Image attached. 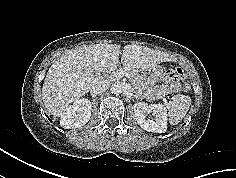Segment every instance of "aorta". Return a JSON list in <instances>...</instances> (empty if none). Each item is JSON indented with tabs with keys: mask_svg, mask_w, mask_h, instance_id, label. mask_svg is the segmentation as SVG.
Here are the masks:
<instances>
[{
	"mask_svg": "<svg viewBox=\"0 0 236 178\" xmlns=\"http://www.w3.org/2000/svg\"><path fill=\"white\" fill-rule=\"evenodd\" d=\"M123 88L120 84L115 83L111 85V92L112 94L118 95L122 92Z\"/></svg>",
	"mask_w": 236,
	"mask_h": 178,
	"instance_id": "762f6f07",
	"label": "aorta"
}]
</instances>
